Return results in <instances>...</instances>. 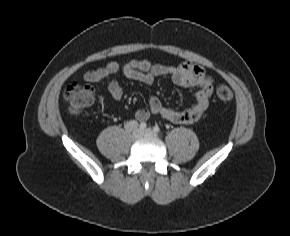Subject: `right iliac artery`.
<instances>
[{
    "label": "right iliac artery",
    "mask_w": 290,
    "mask_h": 236,
    "mask_svg": "<svg viewBox=\"0 0 290 236\" xmlns=\"http://www.w3.org/2000/svg\"><path fill=\"white\" fill-rule=\"evenodd\" d=\"M146 127H147V124H146L145 122H141V123L139 124V128H140V130H144V129H146Z\"/></svg>",
    "instance_id": "obj_1"
}]
</instances>
